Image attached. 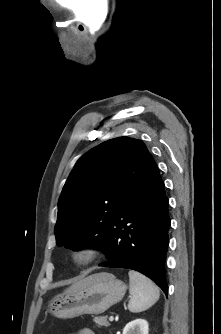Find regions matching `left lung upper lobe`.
I'll list each match as a JSON object with an SVG mask.
<instances>
[{"label":"left lung upper lobe","instance_id":"obj_1","mask_svg":"<svg viewBox=\"0 0 221 334\" xmlns=\"http://www.w3.org/2000/svg\"><path fill=\"white\" fill-rule=\"evenodd\" d=\"M153 162L145 144L128 137L110 139L84 154L58 201L57 245L106 249L125 198Z\"/></svg>","mask_w":221,"mask_h":334}]
</instances>
